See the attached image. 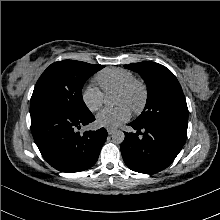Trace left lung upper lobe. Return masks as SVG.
<instances>
[{"mask_svg":"<svg viewBox=\"0 0 220 220\" xmlns=\"http://www.w3.org/2000/svg\"><path fill=\"white\" fill-rule=\"evenodd\" d=\"M124 67L139 73L147 86L145 108L133 122L138 125H166L186 134L188 108L174 74L165 66L151 61Z\"/></svg>","mask_w":220,"mask_h":220,"instance_id":"5c2ea615","label":"left lung upper lobe"}]
</instances>
